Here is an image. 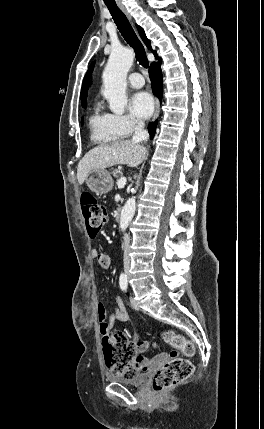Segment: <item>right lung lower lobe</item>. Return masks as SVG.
<instances>
[{
  "label": "right lung lower lobe",
  "mask_w": 264,
  "mask_h": 429,
  "mask_svg": "<svg viewBox=\"0 0 264 429\" xmlns=\"http://www.w3.org/2000/svg\"><path fill=\"white\" fill-rule=\"evenodd\" d=\"M158 59L157 63H152L149 69V76L151 78L152 82V90L155 95L158 96V98L161 100L162 93H163V82H162V74L160 69L161 60ZM157 121L154 123H150L149 125V132L151 139L154 137L155 129H156Z\"/></svg>",
  "instance_id": "1"
}]
</instances>
